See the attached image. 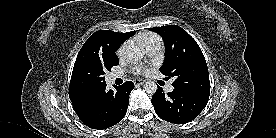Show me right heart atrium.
Returning a JSON list of instances; mask_svg holds the SVG:
<instances>
[{
  "label": "right heart atrium",
  "mask_w": 276,
  "mask_h": 138,
  "mask_svg": "<svg viewBox=\"0 0 276 138\" xmlns=\"http://www.w3.org/2000/svg\"><path fill=\"white\" fill-rule=\"evenodd\" d=\"M126 50H127V44L121 45L117 50L118 57L123 58L126 54Z\"/></svg>",
  "instance_id": "1"
}]
</instances>
